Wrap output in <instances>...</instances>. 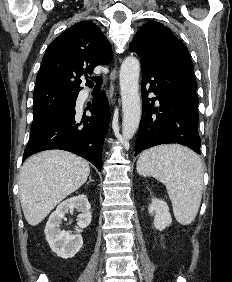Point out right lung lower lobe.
I'll list each match as a JSON object with an SVG mask.
<instances>
[{"mask_svg": "<svg viewBox=\"0 0 232 282\" xmlns=\"http://www.w3.org/2000/svg\"><path fill=\"white\" fill-rule=\"evenodd\" d=\"M90 112L92 116L81 120L83 128H79L75 120V103L32 124L23 161L40 151L62 149L87 159L101 171L102 148L110 121V108L104 93L94 101Z\"/></svg>", "mask_w": 232, "mask_h": 282, "instance_id": "obj_1", "label": "right lung lower lobe"}]
</instances>
